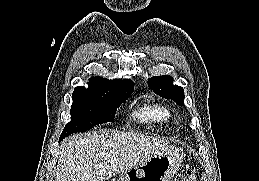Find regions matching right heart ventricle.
<instances>
[{"mask_svg": "<svg viewBox=\"0 0 259 181\" xmlns=\"http://www.w3.org/2000/svg\"><path fill=\"white\" fill-rule=\"evenodd\" d=\"M134 117L141 122L170 124L175 120L176 114L166 104L155 100L140 107Z\"/></svg>", "mask_w": 259, "mask_h": 181, "instance_id": "1", "label": "right heart ventricle"}]
</instances>
